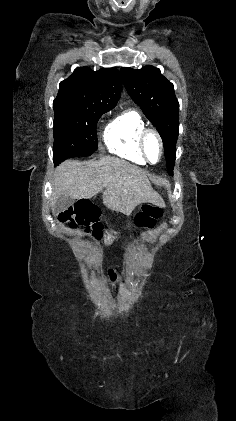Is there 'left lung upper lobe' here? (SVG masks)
<instances>
[{"mask_svg": "<svg viewBox=\"0 0 236 421\" xmlns=\"http://www.w3.org/2000/svg\"><path fill=\"white\" fill-rule=\"evenodd\" d=\"M120 73L130 97L157 128L163 140L167 163L174 165L179 133V103L173 84L161 75L158 68L150 65L137 70L121 68Z\"/></svg>", "mask_w": 236, "mask_h": 421, "instance_id": "1", "label": "left lung upper lobe"}]
</instances>
